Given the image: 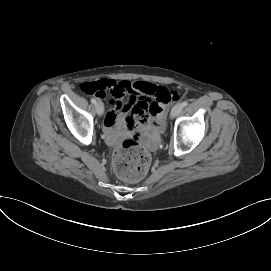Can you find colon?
Here are the masks:
<instances>
[{
  "label": "colon",
  "instance_id": "1",
  "mask_svg": "<svg viewBox=\"0 0 271 271\" xmlns=\"http://www.w3.org/2000/svg\"><path fill=\"white\" fill-rule=\"evenodd\" d=\"M81 88L84 93L97 97L106 91V85L102 80L84 83ZM157 97L159 100L167 102L179 99L177 92L163 89L158 91ZM150 162L151 156L146 149L135 140L126 139L114 154L113 169L119 178L128 182H136L146 175Z\"/></svg>",
  "mask_w": 271,
  "mask_h": 271
}]
</instances>
